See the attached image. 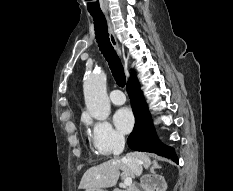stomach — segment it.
Masks as SVG:
<instances>
[{
	"instance_id": "0dacf381",
	"label": "stomach",
	"mask_w": 233,
	"mask_h": 191,
	"mask_svg": "<svg viewBox=\"0 0 233 191\" xmlns=\"http://www.w3.org/2000/svg\"><path fill=\"white\" fill-rule=\"evenodd\" d=\"M86 191H104V190L103 189H93V190L86 189Z\"/></svg>"
}]
</instances>
